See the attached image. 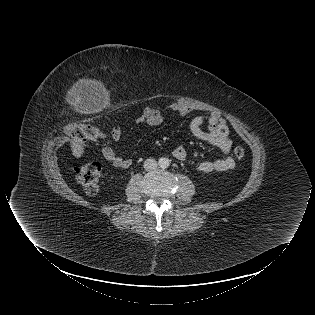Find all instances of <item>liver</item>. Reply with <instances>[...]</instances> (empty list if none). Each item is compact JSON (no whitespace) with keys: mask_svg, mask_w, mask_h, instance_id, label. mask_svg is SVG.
Returning <instances> with one entry per match:
<instances>
[{"mask_svg":"<svg viewBox=\"0 0 315 315\" xmlns=\"http://www.w3.org/2000/svg\"><path fill=\"white\" fill-rule=\"evenodd\" d=\"M89 83H92L94 85H99V83L97 81H91V80L82 79L76 84V86H80L82 84H89Z\"/></svg>","mask_w":315,"mask_h":315,"instance_id":"1","label":"liver"}]
</instances>
